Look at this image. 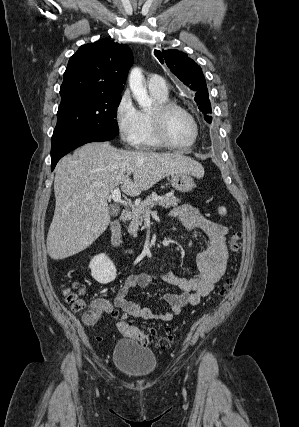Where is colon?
<instances>
[{
	"instance_id": "5ec220e1",
	"label": "colon",
	"mask_w": 299,
	"mask_h": 427,
	"mask_svg": "<svg viewBox=\"0 0 299 427\" xmlns=\"http://www.w3.org/2000/svg\"><path fill=\"white\" fill-rule=\"evenodd\" d=\"M238 238L239 235L236 232L231 235L230 249L234 252L239 248ZM232 283V278L225 279L220 289V296L224 297L230 292ZM63 294L73 311L83 313L86 324L93 325L96 323L99 318L100 310L88 304L84 297L83 286L79 281H72L65 286L63 288ZM116 326L119 332L136 339L141 344L155 342L158 347L167 348L172 343V337L170 335L155 338L154 334L144 332L124 319H119Z\"/></svg>"
}]
</instances>
